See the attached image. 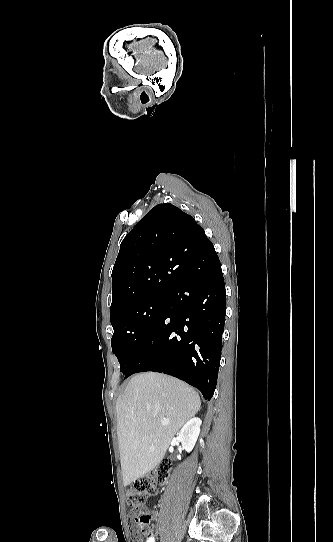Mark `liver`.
I'll return each instance as SVG.
<instances>
[{"mask_svg": "<svg viewBox=\"0 0 333 542\" xmlns=\"http://www.w3.org/2000/svg\"><path fill=\"white\" fill-rule=\"evenodd\" d=\"M200 406L199 394L181 380L155 372L131 378L116 402L123 486L160 464L172 438Z\"/></svg>", "mask_w": 333, "mask_h": 542, "instance_id": "obj_1", "label": "liver"}]
</instances>
